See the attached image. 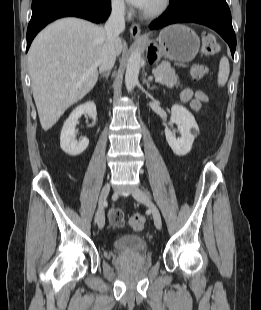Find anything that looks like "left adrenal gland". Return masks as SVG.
<instances>
[{"label": "left adrenal gland", "instance_id": "left-adrenal-gland-1", "mask_svg": "<svg viewBox=\"0 0 261 310\" xmlns=\"http://www.w3.org/2000/svg\"><path fill=\"white\" fill-rule=\"evenodd\" d=\"M146 84H147V88H148V89H150V90L157 89V87H156V86H152V87H150V83H149V81H147V82H146Z\"/></svg>", "mask_w": 261, "mask_h": 310}]
</instances>
